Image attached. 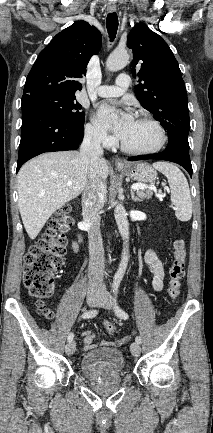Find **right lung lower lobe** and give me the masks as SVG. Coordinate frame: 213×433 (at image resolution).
I'll list each match as a JSON object with an SVG mask.
<instances>
[{
	"label": "right lung lower lobe",
	"instance_id": "1",
	"mask_svg": "<svg viewBox=\"0 0 213 433\" xmlns=\"http://www.w3.org/2000/svg\"><path fill=\"white\" fill-rule=\"evenodd\" d=\"M82 139L83 128H76L42 109L23 108L16 172L27 160L41 153L75 150Z\"/></svg>",
	"mask_w": 213,
	"mask_h": 433
}]
</instances>
